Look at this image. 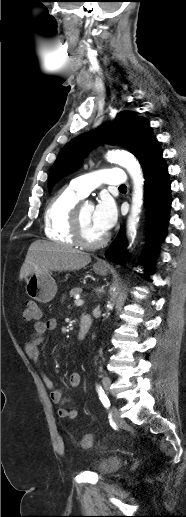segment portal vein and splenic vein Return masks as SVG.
I'll return each instance as SVG.
<instances>
[{
    "label": "portal vein and splenic vein",
    "instance_id": "obj_1",
    "mask_svg": "<svg viewBox=\"0 0 186 517\" xmlns=\"http://www.w3.org/2000/svg\"><path fill=\"white\" fill-rule=\"evenodd\" d=\"M74 303H75V305L80 306V305H83L84 301H83V300H81V299H79V298H76V300L74 301Z\"/></svg>",
    "mask_w": 186,
    "mask_h": 517
}]
</instances>
